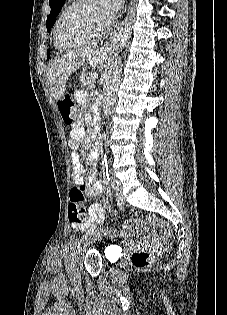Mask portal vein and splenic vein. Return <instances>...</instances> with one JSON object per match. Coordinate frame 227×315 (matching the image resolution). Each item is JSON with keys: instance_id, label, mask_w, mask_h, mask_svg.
I'll return each instance as SVG.
<instances>
[{"instance_id": "1", "label": "portal vein and splenic vein", "mask_w": 227, "mask_h": 315, "mask_svg": "<svg viewBox=\"0 0 227 315\" xmlns=\"http://www.w3.org/2000/svg\"><path fill=\"white\" fill-rule=\"evenodd\" d=\"M92 77H93V79H97L98 78V74L94 73Z\"/></svg>"}]
</instances>
